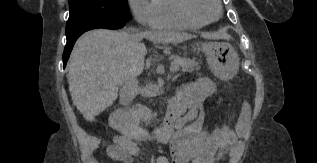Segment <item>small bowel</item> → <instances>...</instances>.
Instances as JSON below:
<instances>
[{"label": "small bowel", "instance_id": "c3829d8e", "mask_svg": "<svg viewBox=\"0 0 317 163\" xmlns=\"http://www.w3.org/2000/svg\"><path fill=\"white\" fill-rule=\"evenodd\" d=\"M216 90L214 82L201 79L186 84L170 104L169 112L177 115L176 132L170 140L172 160L164 156L156 158L155 163H214L221 149L233 150L237 143V134L226 127L213 133L202 130L203 102ZM184 116L181 117L182 114ZM249 107L246 103L238 120L239 129L243 130L249 120ZM139 147L129 142L118 152L109 148V155L117 162L133 163Z\"/></svg>", "mask_w": 317, "mask_h": 163}]
</instances>
